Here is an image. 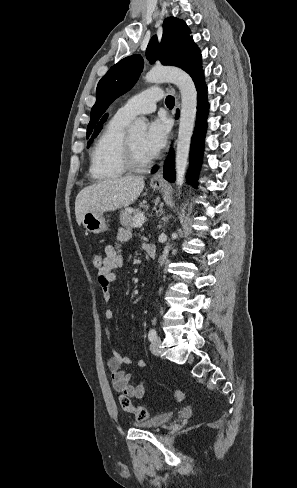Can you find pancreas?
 I'll return each instance as SVG.
<instances>
[{"label": "pancreas", "instance_id": "obj_1", "mask_svg": "<svg viewBox=\"0 0 297 488\" xmlns=\"http://www.w3.org/2000/svg\"><path fill=\"white\" fill-rule=\"evenodd\" d=\"M130 208H125L120 212V223L126 227H133L134 225V218L136 215L139 214V211H129Z\"/></svg>", "mask_w": 297, "mask_h": 488}]
</instances>
